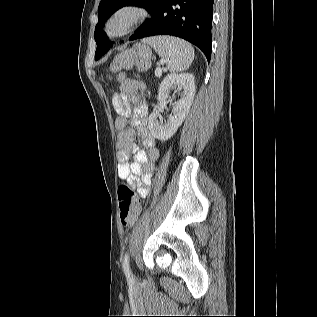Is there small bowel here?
I'll return each mask as SVG.
<instances>
[{
	"instance_id": "c3829d8e",
	"label": "small bowel",
	"mask_w": 317,
	"mask_h": 317,
	"mask_svg": "<svg viewBox=\"0 0 317 317\" xmlns=\"http://www.w3.org/2000/svg\"><path fill=\"white\" fill-rule=\"evenodd\" d=\"M144 90L141 82L126 79L121 83L119 91L112 96V104L118 114L115 120L118 175L137 190L140 198H145L150 193L154 162L159 157L155 138L147 126L146 103L139 99ZM136 136L142 140L146 151L138 148ZM131 155L133 161L129 163Z\"/></svg>"
}]
</instances>
